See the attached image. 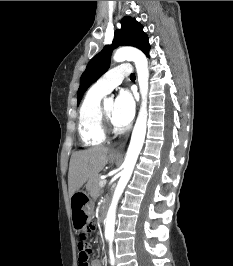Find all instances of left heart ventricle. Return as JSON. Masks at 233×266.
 Returning <instances> with one entry per match:
<instances>
[{"instance_id": "obj_1", "label": "left heart ventricle", "mask_w": 233, "mask_h": 266, "mask_svg": "<svg viewBox=\"0 0 233 266\" xmlns=\"http://www.w3.org/2000/svg\"><path fill=\"white\" fill-rule=\"evenodd\" d=\"M114 106H115V102L113 100H107L104 103L106 113L112 120H113Z\"/></svg>"}]
</instances>
